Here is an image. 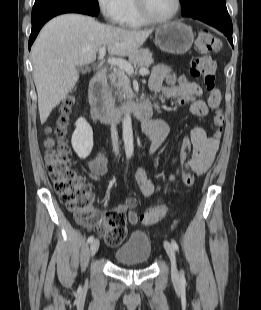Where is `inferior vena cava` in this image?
<instances>
[{"label": "inferior vena cava", "mask_w": 261, "mask_h": 310, "mask_svg": "<svg viewBox=\"0 0 261 310\" xmlns=\"http://www.w3.org/2000/svg\"><path fill=\"white\" fill-rule=\"evenodd\" d=\"M107 104H108L110 111L113 112L115 100L111 96L108 97ZM111 139H112L113 151L115 152L116 155H118L119 154L118 132L113 122L111 124Z\"/></svg>", "instance_id": "obj_1"}]
</instances>
